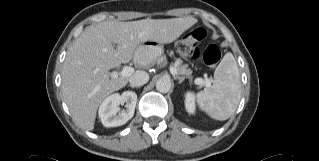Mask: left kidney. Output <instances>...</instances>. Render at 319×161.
Returning <instances> with one entry per match:
<instances>
[{
    "label": "left kidney",
    "instance_id": "1",
    "mask_svg": "<svg viewBox=\"0 0 319 161\" xmlns=\"http://www.w3.org/2000/svg\"><path fill=\"white\" fill-rule=\"evenodd\" d=\"M185 108L188 113H195V96L192 92H187L185 95Z\"/></svg>",
    "mask_w": 319,
    "mask_h": 161
}]
</instances>
